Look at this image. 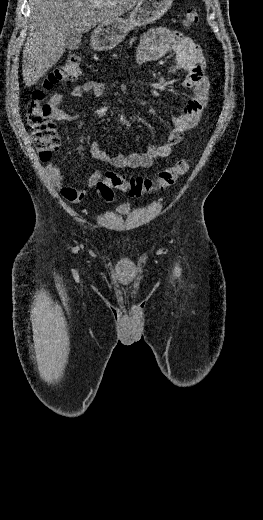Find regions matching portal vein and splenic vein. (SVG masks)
<instances>
[{"label": "portal vein and splenic vein", "mask_w": 263, "mask_h": 520, "mask_svg": "<svg viewBox=\"0 0 263 520\" xmlns=\"http://www.w3.org/2000/svg\"><path fill=\"white\" fill-rule=\"evenodd\" d=\"M98 5H99V3H98V2L94 3V6H98Z\"/></svg>", "instance_id": "obj_1"}]
</instances>
